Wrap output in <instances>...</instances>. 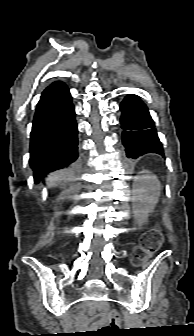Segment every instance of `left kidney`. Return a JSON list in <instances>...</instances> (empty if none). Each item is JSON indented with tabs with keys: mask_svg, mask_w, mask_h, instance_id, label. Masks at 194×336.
Here are the masks:
<instances>
[{
	"mask_svg": "<svg viewBox=\"0 0 194 336\" xmlns=\"http://www.w3.org/2000/svg\"><path fill=\"white\" fill-rule=\"evenodd\" d=\"M161 185L155 174L142 171L134 177L132 189V208L137 223L147 221L149 213L153 212L160 196Z\"/></svg>",
	"mask_w": 194,
	"mask_h": 336,
	"instance_id": "1",
	"label": "left kidney"
}]
</instances>
